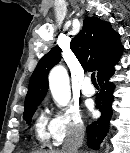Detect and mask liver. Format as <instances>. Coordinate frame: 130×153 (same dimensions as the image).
I'll return each mask as SVG.
<instances>
[{
    "label": "liver",
    "mask_w": 130,
    "mask_h": 153,
    "mask_svg": "<svg viewBox=\"0 0 130 153\" xmlns=\"http://www.w3.org/2000/svg\"><path fill=\"white\" fill-rule=\"evenodd\" d=\"M47 153H62L60 151H51V152H47Z\"/></svg>",
    "instance_id": "6515ba94"
}]
</instances>
